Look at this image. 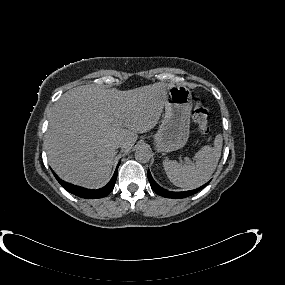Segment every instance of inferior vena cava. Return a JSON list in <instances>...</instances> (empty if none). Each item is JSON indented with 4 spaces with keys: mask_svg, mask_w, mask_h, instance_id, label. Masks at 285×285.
<instances>
[{
    "mask_svg": "<svg viewBox=\"0 0 285 285\" xmlns=\"http://www.w3.org/2000/svg\"><path fill=\"white\" fill-rule=\"evenodd\" d=\"M122 146H123V142H121V141L117 142L115 145L116 148H122Z\"/></svg>",
    "mask_w": 285,
    "mask_h": 285,
    "instance_id": "1",
    "label": "inferior vena cava"
}]
</instances>
